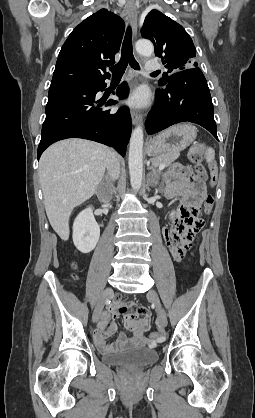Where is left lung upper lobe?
Returning a JSON list of instances; mask_svg holds the SVG:
<instances>
[{
  "label": "left lung upper lobe",
  "instance_id": "5c2ea615",
  "mask_svg": "<svg viewBox=\"0 0 255 418\" xmlns=\"http://www.w3.org/2000/svg\"><path fill=\"white\" fill-rule=\"evenodd\" d=\"M141 34L153 42L155 55L162 59L167 68L159 80L165 87L172 74L196 68V49L185 29L158 10H152L145 18Z\"/></svg>",
  "mask_w": 255,
  "mask_h": 418
}]
</instances>
